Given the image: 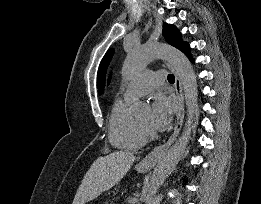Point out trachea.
<instances>
[{
    "mask_svg": "<svg viewBox=\"0 0 261 204\" xmlns=\"http://www.w3.org/2000/svg\"><path fill=\"white\" fill-rule=\"evenodd\" d=\"M168 81H169V82H174V81H175V78H174V75H173V74H169V75H168Z\"/></svg>",
    "mask_w": 261,
    "mask_h": 204,
    "instance_id": "trachea-1",
    "label": "trachea"
}]
</instances>
